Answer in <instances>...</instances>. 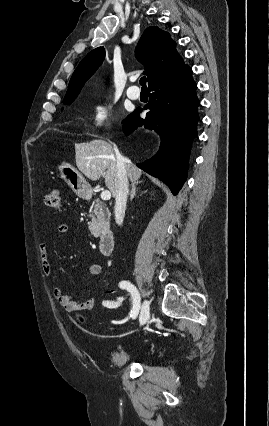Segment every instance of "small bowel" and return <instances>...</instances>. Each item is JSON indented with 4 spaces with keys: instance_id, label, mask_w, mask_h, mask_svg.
Wrapping results in <instances>:
<instances>
[{
    "instance_id": "small-bowel-1",
    "label": "small bowel",
    "mask_w": 269,
    "mask_h": 426,
    "mask_svg": "<svg viewBox=\"0 0 269 426\" xmlns=\"http://www.w3.org/2000/svg\"><path fill=\"white\" fill-rule=\"evenodd\" d=\"M57 232L61 236L73 237V234L71 233L69 227L66 224H60L57 227ZM38 252H39V256L41 260L43 273L45 274V276L51 277L52 266L48 258V247L46 243L39 244ZM102 271H103L102 265L99 263H94L89 266L87 270V275L89 277H96V276H99L102 273ZM53 295L56 301L58 302L61 310L67 314L89 310L93 308L97 303V300L95 298L76 300L72 298L71 296H69L68 294H66L59 286L54 287Z\"/></svg>"
}]
</instances>
